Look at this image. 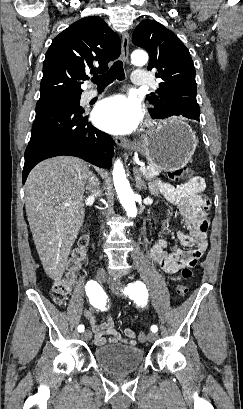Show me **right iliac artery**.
I'll list each match as a JSON object with an SVG mask.
<instances>
[{"label": "right iliac artery", "mask_w": 243, "mask_h": 409, "mask_svg": "<svg viewBox=\"0 0 243 409\" xmlns=\"http://www.w3.org/2000/svg\"><path fill=\"white\" fill-rule=\"evenodd\" d=\"M86 294L90 299V302L93 306H102L105 304L106 301V296L101 288V286L93 280H90L87 285H86ZM84 326L79 325L78 326V331L83 332L84 331Z\"/></svg>", "instance_id": "1"}]
</instances>
